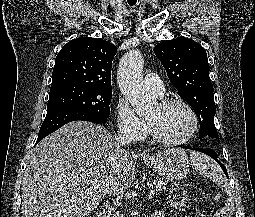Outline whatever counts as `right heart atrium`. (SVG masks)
Returning <instances> with one entry per match:
<instances>
[{"mask_svg":"<svg viewBox=\"0 0 255 217\" xmlns=\"http://www.w3.org/2000/svg\"><path fill=\"white\" fill-rule=\"evenodd\" d=\"M116 122L121 134L130 139H139L146 135L147 126L133 108L125 101L119 100L115 108Z\"/></svg>","mask_w":255,"mask_h":217,"instance_id":"right-heart-atrium-1","label":"right heart atrium"}]
</instances>
